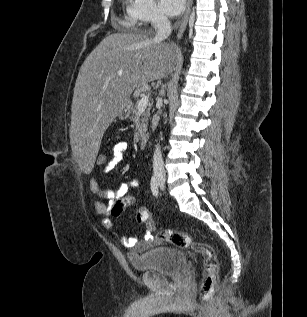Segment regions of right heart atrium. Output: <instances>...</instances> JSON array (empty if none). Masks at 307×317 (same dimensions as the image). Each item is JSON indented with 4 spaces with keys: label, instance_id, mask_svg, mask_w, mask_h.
Instances as JSON below:
<instances>
[{
    "label": "right heart atrium",
    "instance_id": "d8ad5b80",
    "mask_svg": "<svg viewBox=\"0 0 307 317\" xmlns=\"http://www.w3.org/2000/svg\"><path fill=\"white\" fill-rule=\"evenodd\" d=\"M132 10L136 19L143 24L158 26L166 23L155 0H134Z\"/></svg>",
    "mask_w": 307,
    "mask_h": 317
}]
</instances>
